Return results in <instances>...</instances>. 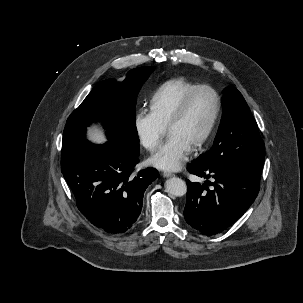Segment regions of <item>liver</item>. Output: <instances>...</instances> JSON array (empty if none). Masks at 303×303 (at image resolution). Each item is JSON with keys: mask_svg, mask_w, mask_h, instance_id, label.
<instances>
[{"mask_svg": "<svg viewBox=\"0 0 303 303\" xmlns=\"http://www.w3.org/2000/svg\"><path fill=\"white\" fill-rule=\"evenodd\" d=\"M89 139L96 143H103L106 141L103 133L98 129H91L89 132Z\"/></svg>", "mask_w": 303, "mask_h": 303, "instance_id": "1", "label": "liver"}]
</instances>
